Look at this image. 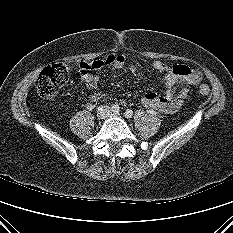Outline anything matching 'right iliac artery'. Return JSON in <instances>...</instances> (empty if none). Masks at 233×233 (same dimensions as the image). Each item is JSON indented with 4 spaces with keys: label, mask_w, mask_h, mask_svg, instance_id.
Returning a JSON list of instances; mask_svg holds the SVG:
<instances>
[{
    "label": "right iliac artery",
    "mask_w": 233,
    "mask_h": 233,
    "mask_svg": "<svg viewBox=\"0 0 233 233\" xmlns=\"http://www.w3.org/2000/svg\"><path fill=\"white\" fill-rule=\"evenodd\" d=\"M120 110L119 106L117 104H113L111 106V111L114 112V113H118Z\"/></svg>",
    "instance_id": "right-iliac-artery-1"
}]
</instances>
